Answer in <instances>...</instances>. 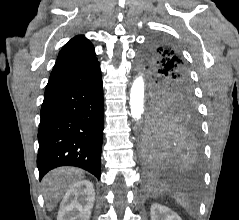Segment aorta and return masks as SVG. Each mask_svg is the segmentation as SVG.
I'll use <instances>...</instances> for the list:
<instances>
[{
	"label": "aorta",
	"mask_w": 239,
	"mask_h": 220,
	"mask_svg": "<svg viewBox=\"0 0 239 220\" xmlns=\"http://www.w3.org/2000/svg\"><path fill=\"white\" fill-rule=\"evenodd\" d=\"M145 80L142 74L134 80L130 91V109L132 118L140 121L144 113Z\"/></svg>",
	"instance_id": "1"
}]
</instances>
